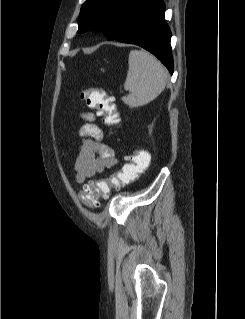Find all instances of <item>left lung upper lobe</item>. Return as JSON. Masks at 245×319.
<instances>
[{
	"mask_svg": "<svg viewBox=\"0 0 245 319\" xmlns=\"http://www.w3.org/2000/svg\"><path fill=\"white\" fill-rule=\"evenodd\" d=\"M147 0H86L81 7L78 33L102 32L114 40L128 17Z\"/></svg>",
	"mask_w": 245,
	"mask_h": 319,
	"instance_id": "obj_1",
	"label": "left lung upper lobe"
}]
</instances>
